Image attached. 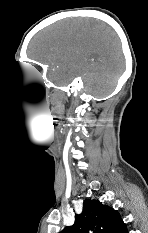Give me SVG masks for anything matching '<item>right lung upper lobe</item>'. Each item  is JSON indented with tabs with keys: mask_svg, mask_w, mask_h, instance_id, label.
<instances>
[{
	"mask_svg": "<svg viewBox=\"0 0 148 233\" xmlns=\"http://www.w3.org/2000/svg\"><path fill=\"white\" fill-rule=\"evenodd\" d=\"M60 233H127V228L118 211L98 200L86 199L75 223Z\"/></svg>",
	"mask_w": 148,
	"mask_h": 233,
	"instance_id": "1",
	"label": "right lung upper lobe"
}]
</instances>
